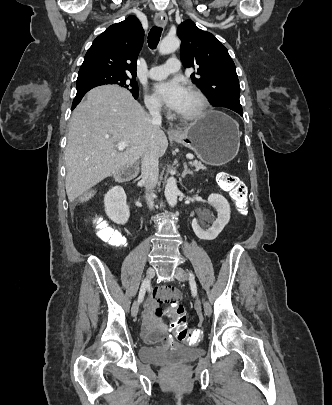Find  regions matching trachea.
<instances>
[{"mask_svg":"<svg viewBox=\"0 0 332 405\" xmlns=\"http://www.w3.org/2000/svg\"><path fill=\"white\" fill-rule=\"evenodd\" d=\"M162 28L154 26L151 28L148 34V46L151 49H155L159 43Z\"/></svg>","mask_w":332,"mask_h":405,"instance_id":"1","label":"trachea"}]
</instances>
